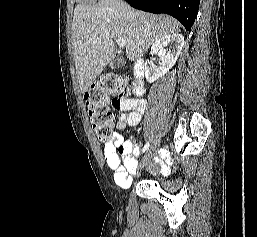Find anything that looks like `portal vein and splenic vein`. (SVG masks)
<instances>
[{
    "label": "portal vein and splenic vein",
    "instance_id": "portal-vein-and-splenic-vein-1",
    "mask_svg": "<svg viewBox=\"0 0 257 237\" xmlns=\"http://www.w3.org/2000/svg\"><path fill=\"white\" fill-rule=\"evenodd\" d=\"M115 42L117 43V45L120 47V48H124L125 47V41L123 39H115Z\"/></svg>",
    "mask_w": 257,
    "mask_h": 237
}]
</instances>
